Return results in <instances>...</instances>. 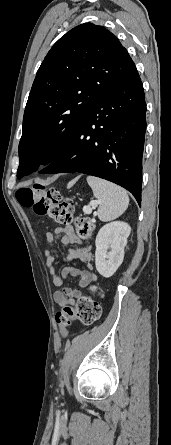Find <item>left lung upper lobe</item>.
<instances>
[{"mask_svg":"<svg viewBox=\"0 0 171 445\" xmlns=\"http://www.w3.org/2000/svg\"><path fill=\"white\" fill-rule=\"evenodd\" d=\"M136 70L117 37L102 26L79 25L50 49L26 104L17 178L59 154L87 109Z\"/></svg>","mask_w":171,"mask_h":445,"instance_id":"5c2ea615","label":"left lung upper lobe"}]
</instances>
